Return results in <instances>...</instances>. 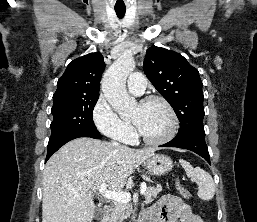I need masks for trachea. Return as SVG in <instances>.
Returning <instances> with one entry per match:
<instances>
[{"label":"trachea","mask_w":257,"mask_h":222,"mask_svg":"<svg viewBox=\"0 0 257 222\" xmlns=\"http://www.w3.org/2000/svg\"><path fill=\"white\" fill-rule=\"evenodd\" d=\"M115 12L119 19H122L125 16V10H115Z\"/></svg>","instance_id":"obj_1"}]
</instances>
